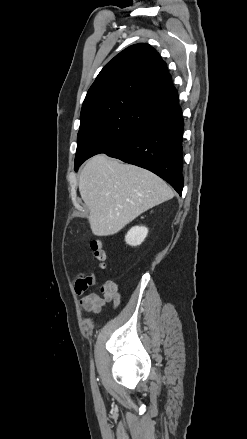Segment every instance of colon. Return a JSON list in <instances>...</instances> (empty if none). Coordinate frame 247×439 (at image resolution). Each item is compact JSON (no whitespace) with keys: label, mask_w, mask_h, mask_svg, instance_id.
<instances>
[{"label":"colon","mask_w":247,"mask_h":439,"mask_svg":"<svg viewBox=\"0 0 247 439\" xmlns=\"http://www.w3.org/2000/svg\"><path fill=\"white\" fill-rule=\"evenodd\" d=\"M90 246L95 258L99 261L100 266L103 268L106 260V253L103 248V244L101 240L99 239L92 240Z\"/></svg>","instance_id":"colon-1"}]
</instances>
